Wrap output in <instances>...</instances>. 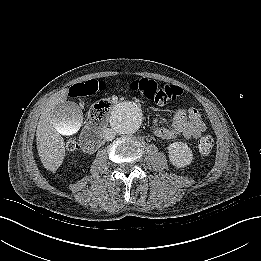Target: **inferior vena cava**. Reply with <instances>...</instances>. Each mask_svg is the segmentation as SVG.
<instances>
[{
  "label": "inferior vena cava",
  "mask_w": 261,
  "mask_h": 261,
  "mask_svg": "<svg viewBox=\"0 0 261 261\" xmlns=\"http://www.w3.org/2000/svg\"><path fill=\"white\" fill-rule=\"evenodd\" d=\"M115 131L112 128H106L103 131V138L106 141H112L115 138Z\"/></svg>",
  "instance_id": "inferior-vena-cava-1"
}]
</instances>
